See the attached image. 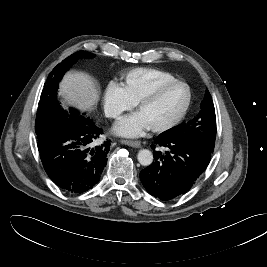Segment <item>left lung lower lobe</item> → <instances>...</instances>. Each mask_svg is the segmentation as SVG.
Instances as JSON below:
<instances>
[{"label": "left lung lower lobe", "mask_w": 267, "mask_h": 267, "mask_svg": "<svg viewBox=\"0 0 267 267\" xmlns=\"http://www.w3.org/2000/svg\"><path fill=\"white\" fill-rule=\"evenodd\" d=\"M155 144L163 150L154 151V162L140 172V180L152 196L171 200L193 186L207 168L212 152L202 144L185 138L159 135Z\"/></svg>", "instance_id": "obj_1"}]
</instances>
